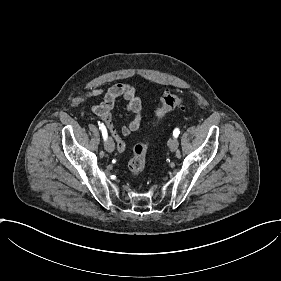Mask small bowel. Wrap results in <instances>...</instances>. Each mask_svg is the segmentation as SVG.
Instances as JSON below:
<instances>
[{
    "label": "small bowel",
    "instance_id": "obj_1",
    "mask_svg": "<svg viewBox=\"0 0 281 281\" xmlns=\"http://www.w3.org/2000/svg\"><path fill=\"white\" fill-rule=\"evenodd\" d=\"M103 94H105L104 100L100 104L91 106L90 110L108 127L112 138L117 143L118 150L122 151L126 148V143L121 135L124 137L129 136L131 132L137 130L142 123L141 100L137 91L126 83L114 84L106 92L99 87L91 89L84 94V98L91 99ZM118 100H122L125 104V108L133 115L129 124L121 128V135L114 128L111 120V110Z\"/></svg>",
    "mask_w": 281,
    "mask_h": 281
}]
</instances>
